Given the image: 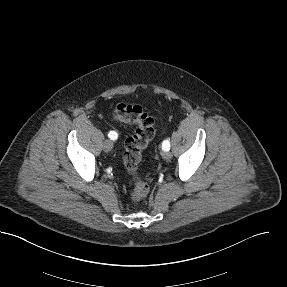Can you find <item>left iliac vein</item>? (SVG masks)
Masks as SVG:
<instances>
[{"label":"left iliac vein","instance_id":"4c4485c4","mask_svg":"<svg viewBox=\"0 0 287 287\" xmlns=\"http://www.w3.org/2000/svg\"><path fill=\"white\" fill-rule=\"evenodd\" d=\"M162 157H163L165 160H169V159H171V157H172V153L169 152V151H163V152H162Z\"/></svg>","mask_w":287,"mask_h":287}]
</instances>
